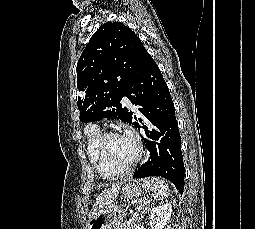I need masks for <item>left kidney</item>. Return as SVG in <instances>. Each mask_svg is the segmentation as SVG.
Masks as SVG:
<instances>
[{
  "label": "left kidney",
  "mask_w": 255,
  "mask_h": 229,
  "mask_svg": "<svg viewBox=\"0 0 255 229\" xmlns=\"http://www.w3.org/2000/svg\"><path fill=\"white\" fill-rule=\"evenodd\" d=\"M172 214V205L162 204L153 207L149 215V223L152 229H166Z\"/></svg>",
  "instance_id": "obj_1"
}]
</instances>
